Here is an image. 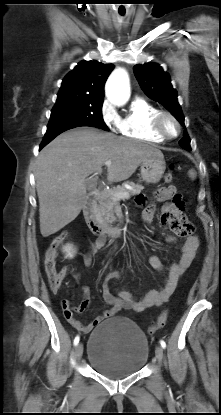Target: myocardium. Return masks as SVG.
<instances>
[{
    "label": "myocardium",
    "instance_id": "f54148a6",
    "mask_svg": "<svg viewBox=\"0 0 221 415\" xmlns=\"http://www.w3.org/2000/svg\"><path fill=\"white\" fill-rule=\"evenodd\" d=\"M169 119L171 121L174 122L175 126H176V133L175 134H170L166 127H165V121ZM152 127L153 130L160 135L161 137H163L166 140H171V139H175L177 138L180 133H181V124L179 122V120L177 119V117L175 115H173L171 112L169 111H165V110H160L153 118L152 120Z\"/></svg>",
    "mask_w": 221,
    "mask_h": 415
}]
</instances>
